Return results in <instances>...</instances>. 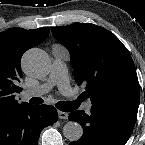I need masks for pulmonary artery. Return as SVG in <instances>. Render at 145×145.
Segmentation results:
<instances>
[{"instance_id": "obj_1", "label": "pulmonary artery", "mask_w": 145, "mask_h": 145, "mask_svg": "<svg viewBox=\"0 0 145 145\" xmlns=\"http://www.w3.org/2000/svg\"><path fill=\"white\" fill-rule=\"evenodd\" d=\"M53 86H57L60 93L64 96H71L73 94L72 88L69 84L65 62L59 57H56L53 60L51 72L47 81L37 86L36 88L25 91L23 93V96L25 98H28L31 96L42 95L51 90ZM91 108L92 101H86L83 105V109L86 112H89Z\"/></svg>"}]
</instances>
